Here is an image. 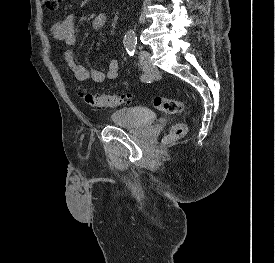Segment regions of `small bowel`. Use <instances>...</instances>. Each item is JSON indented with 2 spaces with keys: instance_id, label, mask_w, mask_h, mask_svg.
<instances>
[{
  "instance_id": "obj_1",
  "label": "small bowel",
  "mask_w": 275,
  "mask_h": 263,
  "mask_svg": "<svg viewBox=\"0 0 275 263\" xmlns=\"http://www.w3.org/2000/svg\"><path fill=\"white\" fill-rule=\"evenodd\" d=\"M108 22V16L103 13L94 15L91 21L92 29L100 31L104 29ZM53 37L59 41L65 42L69 46L76 43L75 16L69 14L63 19L56 21L51 27ZM62 58L72 72L73 77L79 82L93 81L101 83L105 80H114L118 76L119 63L116 59H109L107 68L102 71L98 68H88L77 62L71 50H66Z\"/></svg>"
}]
</instances>
